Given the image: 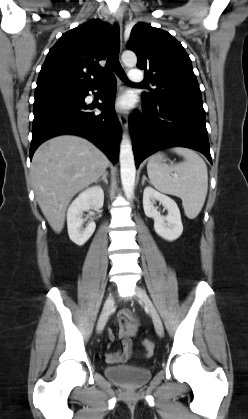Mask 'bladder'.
<instances>
[{
	"instance_id": "obj_1",
	"label": "bladder",
	"mask_w": 248,
	"mask_h": 419,
	"mask_svg": "<svg viewBox=\"0 0 248 419\" xmlns=\"http://www.w3.org/2000/svg\"><path fill=\"white\" fill-rule=\"evenodd\" d=\"M105 376L127 389H136L147 384L151 377V370L132 365L108 366L104 369Z\"/></svg>"
}]
</instances>
